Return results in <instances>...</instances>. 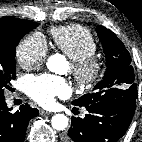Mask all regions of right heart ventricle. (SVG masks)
Masks as SVG:
<instances>
[{"label": "right heart ventricle", "instance_id": "obj_1", "mask_svg": "<svg viewBox=\"0 0 142 142\" xmlns=\"http://www.w3.org/2000/svg\"><path fill=\"white\" fill-rule=\"evenodd\" d=\"M50 34L54 46L71 60L94 55L97 51V43L92 33L81 25L53 27Z\"/></svg>", "mask_w": 142, "mask_h": 142}]
</instances>
